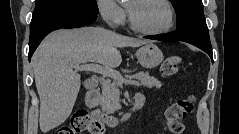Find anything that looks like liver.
Segmentation results:
<instances>
[{
	"label": "liver",
	"mask_w": 239,
	"mask_h": 134,
	"mask_svg": "<svg viewBox=\"0 0 239 134\" xmlns=\"http://www.w3.org/2000/svg\"><path fill=\"white\" fill-rule=\"evenodd\" d=\"M101 27L58 30L49 34L32 57L40 98V129L46 133L70 116L81 87L76 63L96 62L116 68L122 62L119 48L149 43Z\"/></svg>",
	"instance_id": "obj_1"
}]
</instances>
